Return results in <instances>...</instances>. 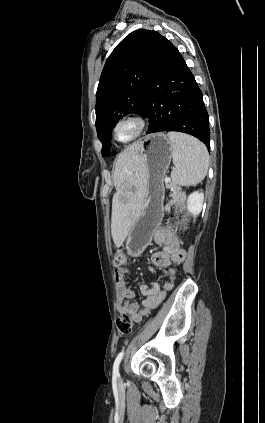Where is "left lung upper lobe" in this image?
Instances as JSON below:
<instances>
[{
	"label": "left lung upper lobe",
	"mask_w": 265,
	"mask_h": 423,
	"mask_svg": "<svg viewBox=\"0 0 265 423\" xmlns=\"http://www.w3.org/2000/svg\"><path fill=\"white\" fill-rule=\"evenodd\" d=\"M164 38L156 31L136 30L107 59L96 93V129L103 156L110 149L112 129L122 114H140Z\"/></svg>",
	"instance_id": "left-lung-upper-lobe-1"
}]
</instances>
